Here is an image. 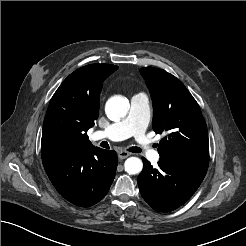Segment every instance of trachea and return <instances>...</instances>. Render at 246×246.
<instances>
[{"instance_id":"obj_1","label":"trachea","mask_w":246,"mask_h":246,"mask_svg":"<svg viewBox=\"0 0 246 246\" xmlns=\"http://www.w3.org/2000/svg\"><path fill=\"white\" fill-rule=\"evenodd\" d=\"M101 146H102L103 148L109 149V145H108V143L105 142V141L101 143ZM128 151L133 152V153H140V152H141V149L138 148V147H130V148L128 149Z\"/></svg>"}]
</instances>
